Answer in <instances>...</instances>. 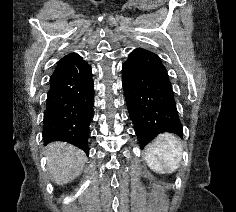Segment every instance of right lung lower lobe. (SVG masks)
I'll return each mask as SVG.
<instances>
[{"label": "right lung lower lobe", "instance_id": "1", "mask_svg": "<svg viewBox=\"0 0 236 212\" xmlns=\"http://www.w3.org/2000/svg\"><path fill=\"white\" fill-rule=\"evenodd\" d=\"M93 89L91 68L81 56L70 53L57 62L49 80L43 119L46 144L66 141L88 154Z\"/></svg>", "mask_w": 236, "mask_h": 212}]
</instances>
